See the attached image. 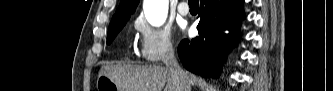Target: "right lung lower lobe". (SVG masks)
Wrapping results in <instances>:
<instances>
[{"label": "right lung lower lobe", "instance_id": "right-lung-lower-lobe-1", "mask_svg": "<svg viewBox=\"0 0 333 91\" xmlns=\"http://www.w3.org/2000/svg\"><path fill=\"white\" fill-rule=\"evenodd\" d=\"M243 0H201L199 36L178 46L184 67L205 77L220 74L219 62L236 44L243 14ZM222 30H229L223 34Z\"/></svg>", "mask_w": 333, "mask_h": 91}]
</instances>
